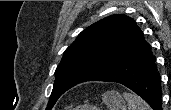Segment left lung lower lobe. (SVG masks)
<instances>
[{
	"mask_svg": "<svg viewBox=\"0 0 171 110\" xmlns=\"http://www.w3.org/2000/svg\"><path fill=\"white\" fill-rule=\"evenodd\" d=\"M155 61L150 45L144 41L122 62L91 81L120 83L142 97L154 110H162L161 80Z\"/></svg>",
	"mask_w": 171,
	"mask_h": 110,
	"instance_id": "0a47b994",
	"label": "left lung lower lobe"
}]
</instances>
